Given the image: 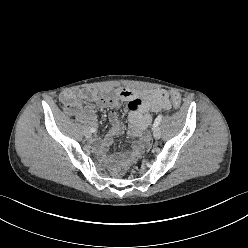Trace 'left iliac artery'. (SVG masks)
Returning <instances> with one entry per match:
<instances>
[{
    "mask_svg": "<svg viewBox=\"0 0 248 248\" xmlns=\"http://www.w3.org/2000/svg\"><path fill=\"white\" fill-rule=\"evenodd\" d=\"M162 115L160 114V115H158V117L155 119V122H154V124H153V130L159 125V123L161 122V120H162Z\"/></svg>",
    "mask_w": 248,
    "mask_h": 248,
    "instance_id": "left-iliac-artery-1",
    "label": "left iliac artery"
}]
</instances>
